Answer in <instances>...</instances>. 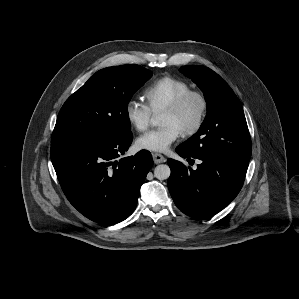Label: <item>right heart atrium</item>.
<instances>
[{"mask_svg": "<svg viewBox=\"0 0 299 299\" xmlns=\"http://www.w3.org/2000/svg\"><path fill=\"white\" fill-rule=\"evenodd\" d=\"M125 117L128 123L137 131L146 130L151 122L152 112L146 104L130 99L125 105Z\"/></svg>", "mask_w": 299, "mask_h": 299, "instance_id": "1", "label": "right heart atrium"}]
</instances>
